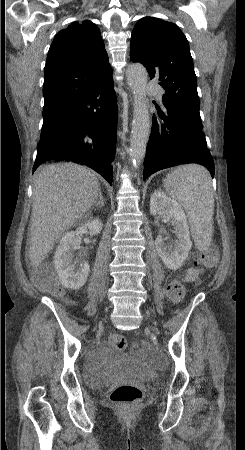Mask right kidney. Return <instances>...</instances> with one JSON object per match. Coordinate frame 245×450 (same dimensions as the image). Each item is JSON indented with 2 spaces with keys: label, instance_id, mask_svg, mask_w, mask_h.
I'll return each instance as SVG.
<instances>
[{
  "label": "right kidney",
  "instance_id": "obj_1",
  "mask_svg": "<svg viewBox=\"0 0 245 450\" xmlns=\"http://www.w3.org/2000/svg\"><path fill=\"white\" fill-rule=\"evenodd\" d=\"M99 219L82 224L76 231L66 233L59 242L54 255V264L59 280L65 288L78 290L87 281L90 266L87 260L74 259L73 252L81 243L82 234L97 235L102 229Z\"/></svg>",
  "mask_w": 245,
  "mask_h": 450
}]
</instances>
